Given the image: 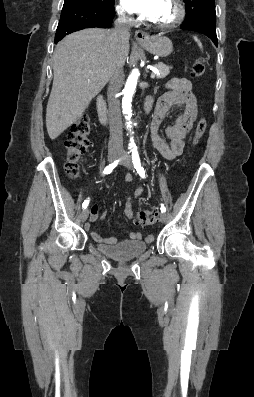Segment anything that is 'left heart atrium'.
Wrapping results in <instances>:
<instances>
[{
  "mask_svg": "<svg viewBox=\"0 0 254 397\" xmlns=\"http://www.w3.org/2000/svg\"><path fill=\"white\" fill-rule=\"evenodd\" d=\"M168 0H123L126 8L145 18L154 20L164 8Z\"/></svg>",
  "mask_w": 254,
  "mask_h": 397,
  "instance_id": "left-heart-atrium-1",
  "label": "left heart atrium"
}]
</instances>
